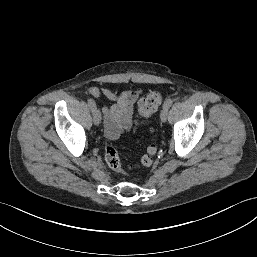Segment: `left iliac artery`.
<instances>
[{"instance_id":"44dca946","label":"left iliac artery","mask_w":257,"mask_h":257,"mask_svg":"<svg viewBox=\"0 0 257 257\" xmlns=\"http://www.w3.org/2000/svg\"><path fill=\"white\" fill-rule=\"evenodd\" d=\"M172 103H173V99L171 98L166 99V101L164 102L163 108L169 109Z\"/></svg>"}]
</instances>
